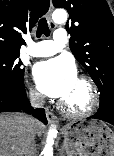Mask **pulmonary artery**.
<instances>
[{
	"label": "pulmonary artery",
	"instance_id": "e3ab8cb5",
	"mask_svg": "<svg viewBox=\"0 0 114 156\" xmlns=\"http://www.w3.org/2000/svg\"><path fill=\"white\" fill-rule=\"evenodd\" d=\"M67 43V33L64 29H57L54 33L53 40H44L33 42L28 40L26 53L33 57H49L60 52Z\"/></svg>",
	"mask_w": 114,
	"mask_h": 156
}]
</instances>
